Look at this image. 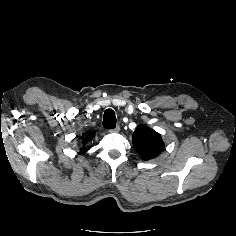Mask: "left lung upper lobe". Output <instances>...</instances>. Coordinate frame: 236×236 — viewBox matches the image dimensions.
Segmentation results:
<instances>
[{
	"label": "left lung upper lobe",
	"mask_w": 236,
	"mask_h": 236,
	"mask_svg": "<svg viewBox=\"0 0 236 236\" xmlns=\"http://www.w3.org/2000/svg\"><path fill=\"white\" fill-rule=\"evenodd\" d=\"M132 139L134 148L145 161L156 158L164 149L160 134L146 125L138 126Z\"/></svg>",
	"instance_id": "obj_1"
}]
</instances>
